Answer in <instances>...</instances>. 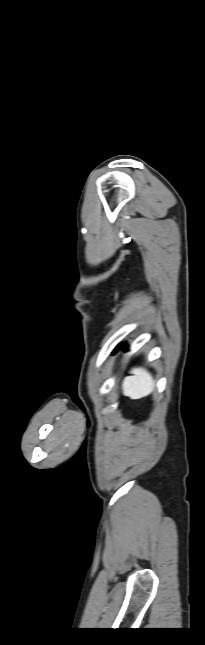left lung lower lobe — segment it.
Wrapping results in <instances>:
<instances>
[{
	"instance_id": "obj_1",
	"label": "left lung lower lobe",
	"mask_w": 205,
	"mask_h": 645,
	"mask_svg": "<svg viewBox=\"0 0 205 645\" xmlns=\"http://www.w3.org/2000/svg\"><path fill=\"white\" fill-rule=\"evenodd\" d=\"M123 347H125V346H124V345H122V344H119V345H118V347L116 348V350H117V349H120V348H123Z\"/></svg>"
}]
</instances>
